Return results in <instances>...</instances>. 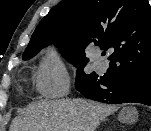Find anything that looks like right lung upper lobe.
<instances>
[{
  "label": "right lung upper lobe",
  "mask_w": 151,
  "mask_h": 131,
  "mask_svg": "<svg viewBox=\"0 0 151 131\" xmlns=\"http://www.w3.org/2000/svg\"><path fill=\"white\" fill-rule=\"evenodd\" d=\"M67 45L78 53L111 49L108 75L151 71V7L147 0H64L40 21L28 46Z\"/></svg>",
  "instance_id": "right-lung-upper-lobe-1"
}]
</instances>
